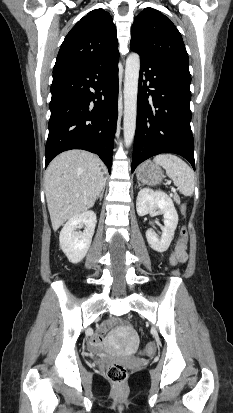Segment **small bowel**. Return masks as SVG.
Listing matches in <instances>:
<instances>
[{
  "label": "small bowel",
  "instance_id": "small-bowel-1",
  "mask_svg": "<svg viewBox=\"0 0 233 413\" xmlns=\"http://www.w3.org/2000/svg\"><path fill=\"white\" fill-rule=\"evenodd\" d=\"M179 241V240H178ZM178 243V242H177ZM186 245H184L180 251V258L179 261L180 262H184L187 258L186 255ZM114 323V320H109L106 323H104L101 328H100V334L98 336H95L92 340H91V349L93 352L95 353H99L102 351L103 349V342H102V338L101 335Z\"/></svg>",
  "mask_w": 233,
  "mask_h": 413
}]
</instances>
